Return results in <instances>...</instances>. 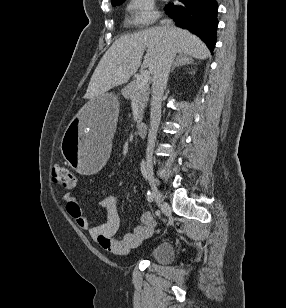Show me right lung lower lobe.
Returning <instances> with one entry per match:
<instances>
[{"label": "right lung lower lobe", "mask_w": 286, "mask_h": 308, "mask_svg": "<svg viewBox=\"0 0 286 308\" xmlns=\"http://www.w3.org/2000/svg\"><path fill=\"white\" fill-rule=\"evenodd\" d=\"M181 6L168 4L166 13L178 27L191 30L213 51L216 44L217 2L216 0H179Z\"/></svg>", "instance_id": "98d812e1"}]
</instances>
